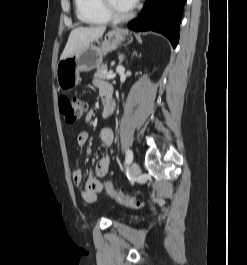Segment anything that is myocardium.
<instances>
[{
  "instance_id": "myocardium-1",
  "label": "myocardium",
  "mask_w": 247,
  "mask_h": 265,
  "mask_svg": "<svg viewBox=\"0 0 247 265\" xmlns=\"http://www.w3.org/2000/svg\"><path fill=\"white\" fill-rule=\"evenodd\" d=\"M102 7L106 15L109 17L110 20L113 21H126L133 16V9H130L126 13H119L115 10V8L109 3L108 0H102Z\"/></svg>"
}]
</instances>
